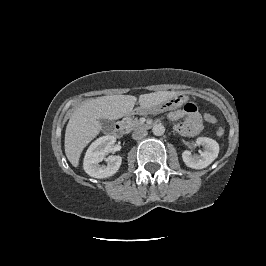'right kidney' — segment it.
Segmentation results:
<instances>
[{"mask_svg":"<svg viewBox=\"0 0 266 266\" xmlns=\"http://www.w3.org/2000/svg\"><path fill=\"white\" fill-rule=\"evenodd\" d=\"M116 138L106 135L95 140L88 148L83 167L85 172L94 178H107L114 175L122 163L121 156H110L106 159L107 165H99L115 144Z\"/></svg>","mask_w":266,"mask_h":266,"instance_id":"1","label":"right kidney"}]
</instances>
